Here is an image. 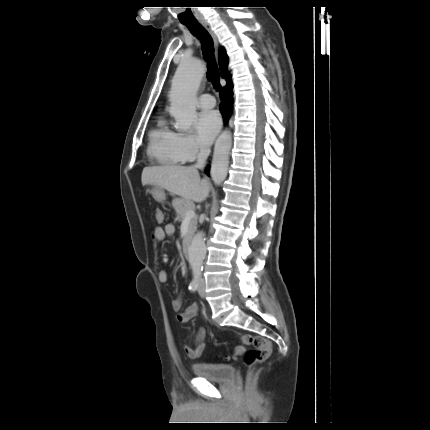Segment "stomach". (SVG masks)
I'll use <instances>...</instances> for the list:
<instances>
[{
    "mask_svg": "<svg viewBox=\"0 0 430 430\" xmlns=\"http://www.w3.org/2000/svg\"><path fill=\"white\" fill-rule=\"evenodd\" d=\"M153 198L158 202H163L165 200V192L164 188L154 185V188L151 190Z\"/></svg>",
    "mask_w": 430,
    "mask_h": 430,
    "instance_id": "0dacf381",
    "label": "stomach"
}]
</instances>
